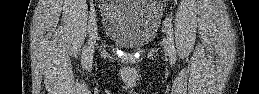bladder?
<instances>
[{
    "label": "bladder",
    "instance_id": "1",
    "mask_svg": "<svg viewBox=\"0 0 259 94\" xmlns=\"http://www.w3.org/2000/svg\"><path fill=\"white\" fill-rule=\"evenodd\" d=\"M161 7L149 0H109L102 8V26L106 37L122 48L138 50L155 37Z\"/></svg>",
    "mask_w": 259,
    "mask_h": 94
}]
</instances>
